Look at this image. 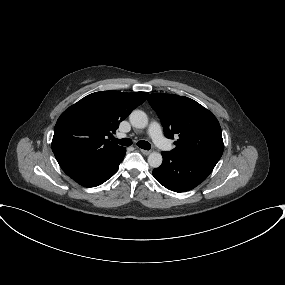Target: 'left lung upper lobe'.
Wrapping results in <instances>:
<instances>
[{
    "label": "left lung upper lobe",
    "instance_id": "left-lung-upper-lobe-1",
    "mask_svg": "<svg viewBox=\"0 0 285 285\" xmlns=\"http://www.w3.org/2000/svg\"><path fill=\"white\" fill-rule=\"evenodd\" d=\"M175 149L169 153L215 167L224 145L216 117L196 101L175 94H150L147 98Z\"/></svg>",
    "mask_w": 285,
    "mask_h": 285
}]
</instances>
